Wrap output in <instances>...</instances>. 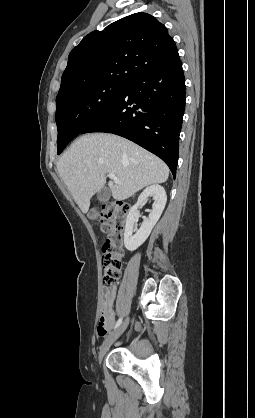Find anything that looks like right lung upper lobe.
I'll return each mask as SVG.
<instances>
[{
    "label": "right lung upper lobe",
    "instance_id": "right-lung-upper-lobe-1",
    "mask_svg": "<svg viewBox=\"0 0 255 418\" xmlns=\"http://www.w3.org/2000/svg\"><path fill=\"white\" fill-rule=\"evenodd\" d=\"M178 59L167 28L147 13H135L89 33L73 48L58 95L97 82L129 84Z\"/></svg>",
    "mask_w": 255,
    "mask_h": 418
}]
</instances>
